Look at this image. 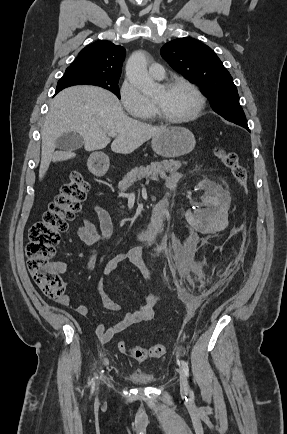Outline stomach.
<instances>
[{"mask_svg": "<svg viewBox=\"0 0 287 434\" xmlns=\"http://www.w3.org/2000/svg\"><path fill=\"white\" fill-rule=\"evenodd\" d=\"M196 141L193 133L184 127H169L152 138L151 145L155 153L162 157H179L190 153ZM91 160L99 161L104 166L109 164L108 157L101 152H94Z\"/></svg>", "mask_w": 287, "mask_h": 434, "instance_id": "1", "label": "stomach"}]
</instances>
